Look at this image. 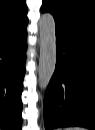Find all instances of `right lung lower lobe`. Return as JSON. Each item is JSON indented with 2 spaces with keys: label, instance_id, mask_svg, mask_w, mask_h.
<instances>
[{
  "label": "right lung lower lobe",
  "instance_id": "98d812e1",
  "mask_svg": "<svg viewBox=\"0 0 95 130\" xmlns=\"http://www.w3.org/2000/svg\"><path fill=\"white\" fill-rule=\"evenodd\" d=\"M27 31L0 41V126L21 130Z\"/></svg>",
  "mask_w": 95,
  "mask_h": 130
}]
</instances>
